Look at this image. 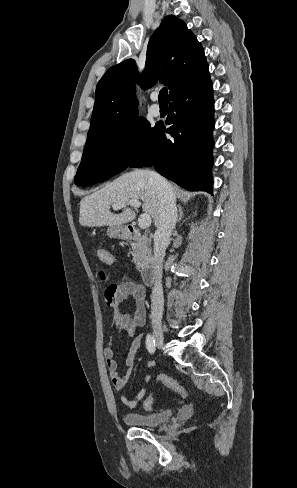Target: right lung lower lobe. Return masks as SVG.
Masks as SVG:
<instances>
[{"label": "right lung lower lobe", "instance_id": "98d812e1", "mask_svg": "<svg viewBox=\"0 0 297 488\" xmlns=\"http://www.w3.org/2000/svg\"><path fill=\"white\" fill-rule=\"evenodd\" d=\"M169 128H158L146 149L129 167L154 168L190 191L212 193L213 85L210 75L181 90L169 103ZM165 133L173 139H167Z\"/></svg>", "mask_w": 297, "mask_h": 488}]
</instances>
